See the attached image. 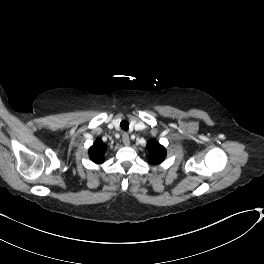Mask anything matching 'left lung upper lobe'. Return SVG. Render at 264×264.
Listing matches in <instances>:
<instances>
[{"label":"left lung upper lobe","mask_w":264,"mask_h":264,"mask_svg":"<svg viewBox=\"0 0 264 264\" xmlns=\"http://www.w3.org/2000/svg\"><path fill=\"white\" fill-rule=\"evenodd\" d=\"M147 148L150 152L149 162L152 164H159L161 163L166 157V150L165 148L157 143L154 139L148 142Z\"/></svg>","instance_id":"left-lung-upper-lobe-1"}]
</instances>
